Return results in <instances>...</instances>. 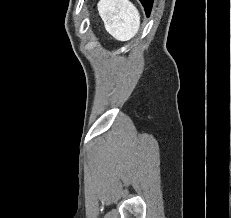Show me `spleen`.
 <instances>
[{
	"mask_svg": "<svg viewBox=\"0 0 231 218\" xmlns=\"http://www.w3.org/2000/svg\"><path fill=\"white\" fill-rule=\"evenodd\" d=\"M97 7L105 29L115 39L127 41L138 32L140 15L128 0H99Z\"/></svg>",
	"mask_w": 231,
	"mask_h": 218,
	"instance_id": "1",
	"label": "spleen"
}]
</instances>
